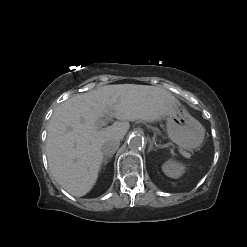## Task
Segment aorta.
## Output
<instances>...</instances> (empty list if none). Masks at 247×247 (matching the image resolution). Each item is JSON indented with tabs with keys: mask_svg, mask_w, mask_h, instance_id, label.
I'll use <instances>...</instances> for the list:
<instances>
[{
	"mask_svg": "<svg viewBox=\"0 0 247 247\" xmlns=\"http://www.w3.org/2000/svg\"><path fill=\"white\" fill-rule=\"evenodd\" d=\"M144 144V138L139 134H133L128 139V147L133 151L140 150Z\"/></svg>",
	"mask_w": 247,
	"mask_h": 247,
	"instance_id": "obj_1",
	"label": "aorta"
}]
</instances>
